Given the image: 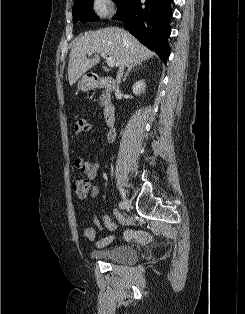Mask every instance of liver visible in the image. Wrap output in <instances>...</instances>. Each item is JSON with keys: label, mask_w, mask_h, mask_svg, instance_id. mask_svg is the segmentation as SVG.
<instances>
[{"label": "liver", "mask_w": 245, "mask_h": 314, "mask_svg": "<svg viewBox=\"0 0 245 314\" xmlns=\"http://www.w3.org/2000/svg\"><path fill=\"white\" fill-rule=\"evenodd\" d=\"M89 52L95 53V57L87 59L86 54ZM100 53H106L114 58L117 67L125 63L128 67L141 64L155 55L122 28L107 27L87 32L77 39L69 54L68 80L71 86L86 71L99 63Z\"/></svg>", "instance_id": "1"}]
</instances>
